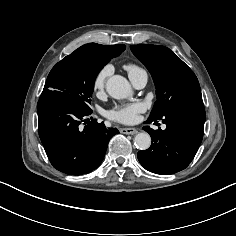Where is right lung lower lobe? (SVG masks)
<instances>
[{
	"label": "right lung lower lobe",
	"mask_w": 236,
	"mask_h": 236,
	"mask_svg": "<svg viewBox=\"0 0 236 236\" xmlns=\"http://www.w3.org/2000/svg\"><path fill=\"white\" fill-rule=\"evenodd\" d=\"M39 137L53 167L69 175H81L102 162L116 128H106L96 119H86L91 109H83L69 95L48 90L37 104ZM92 119V117H91ZM85 122L84 129L80 126Z\"/></svg>",
	"instance_id": "1"
}]
</instances>
